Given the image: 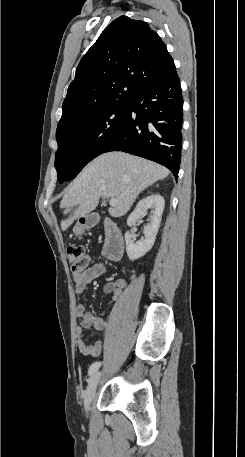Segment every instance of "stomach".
<instances>
[{"instance_id": "obj_1", "label": "stomach", "mask_w": 245, "mask_h": 457, "mask_svg": "<svg viewBox=\"0 0 245 457\" xmlns=\"http://www.w3.org/2000/svg\"><path fill=\"white\" fill-rule=\"evenodd\" d=\"M90 224H92V222H90L89 216H84V218H81V220L75 224L73 233H75V235H83L84 231L89 229Z\"/></svg>"}]
</instances>
